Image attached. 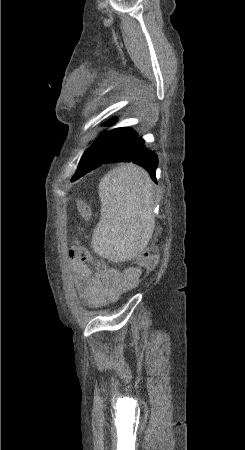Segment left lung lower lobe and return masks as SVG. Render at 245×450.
<instances>
[{
    "mask_svg": "<svg viewBox=\"0 0 245 450\" xmlns=\"http://www.w3.org/2000/svg\"><path fill=\"white\" fill-rule=\"evenodd\" d=\"M85 156L87 159L91 158L94 154L102 155L100 158V161L98 164L93 166L92 168L87 169L84 172H81L75 176H73L71 181H75L78 178L85 175L90 170L100 166L103 163H112V162H134L136 164L141 165L143 168H145L149 175L151 176L152 180L156 182V168L158 164L157 155L154 151L149 150L145 147V141L141 138L136 136V138L129 141L127 144L119 147V148H109V147H90L89 150L85 152Z\"/></svg>",
    "mask_w": 245,
    "mask_h": 450,
    "instance_id": "1",
    "label": "left lung lower lobe"
}]
</instances>
